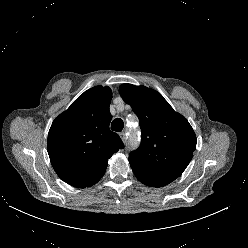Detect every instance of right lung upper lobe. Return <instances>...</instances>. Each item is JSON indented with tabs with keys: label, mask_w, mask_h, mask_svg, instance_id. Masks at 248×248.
Masks as SVG:
<instances>
[{
	"label": "right lung upper lobe",
	"mask_w": 248,
	"mask_h": 248,
	"mask_svg": "<svg viewBox=\"0 0 248 248\" xmlns=\"http://www.w3.org/2000/svg\"><path fill=\"white\" fill-rule=\"evenodd\" d=\"M112 92L96 86L80 95L52 123L47 150L57 175L66 183L85 188L104 175L108 159L124 145L110 131Z\"/></svg>",
	"instance_id": "1"
}]
</instances>
